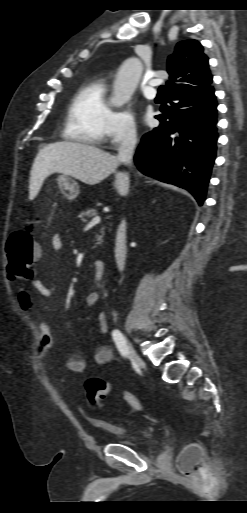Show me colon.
Listing matches in <instances>:
<instances>
[{"label": "colon", "instance_id": "5ec220e1", "mask_svg": "<svg viewBox=\"0 0 247 513\" xmlns=\"http://www.w3.org/2000/svg\"><path fill=\"white\" fill-rule=\"evenodd\" d=\"M35 231V223H29L14 232L9 238L7 244L8 274L14 280L27 279L33 276V263L38 254ZM85 390L89 403L98 407L112 392V386L102 377L93 376L86 380ZM121 396L131 409L139 412L144 410L143 403L134 393L122 391ZM200 461L199 448L191 445L179 455L177 467L182 474L188 475L198 469Z\"/></svg>", "mask_w": 247, "mask_h": 513}]
</instances>
